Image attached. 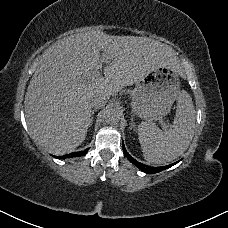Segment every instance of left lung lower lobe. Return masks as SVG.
<instances>
[{
	"instance_id": "1",
	"label": "left lung lower lobe",
	"mask_w": 228,
	"mask_h": 228,
	"mask_svg": "<svg viewBox=\"0 0 228 228\" xmlns=\"http://www.w3.org/2000/svg\"><path fill=\"white\" fill-rule=\"evenodd\" d=\"M123 151H124V155L129 159V161H131L133 164H135L139 169H141L142 171L146 172V173H149V174H154V173H158L160 171H163L167 168H170L172 167L173 165L177 164L179 161L173 163V164H170L168 166H164V167H151V166H148V165H145V164H142L138 161H136L134 158H132L128 152L126 151L125 147H124V144H123Z\"/></svg>"
}]
</instances>
